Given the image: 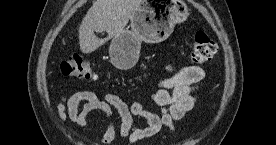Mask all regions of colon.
I'll return each instance as SVG.
<instances>
[{
    "instance_id": "colon-1",
    "label": "colon",
    "mask_w": 276,
    "mask_h": 145,
    "mask_svg": "<svg viewBox=\"0 0 276 145\" xmlns=\"http://www.w3.org/2000/svg\"><path fill=\"white\" fill-rule=\"evenodd\" d=\"M217 52L216 43L204 32H197L194 36L191 60L194 64H204ZM61 72L64 76L94 80L96 78L90 64L81 56L73 55L64 59L61 63Z\"/></svg>"
}]
</instances>
